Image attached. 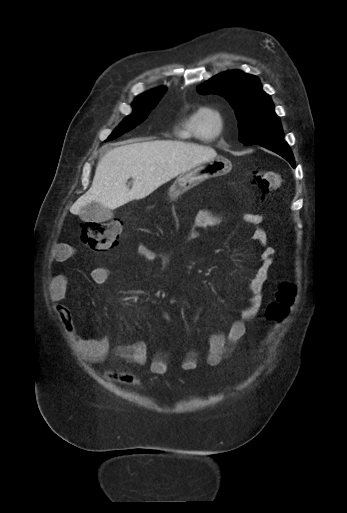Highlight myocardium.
<instances>
[{
	"instance_id": "f54148a6",
	"label": "myocardium",
	"mask_w": 347,
	"mask_h": 513,
	"mask_svg": "<svg viewBox=\"0 0 347 513\" xmlns=\"http://www.w3.org/2000/svg\"><path fill=\"white\" fill-rule=\"evenodd\" d=\"M210 116L216 122V128L209 134H204L201 126L202 118ZM225 128V116L222 110L214 106H204L198 109L196 116V130L207 139L212 140L220 136Z\"/></svg>"
}]
</instances>
